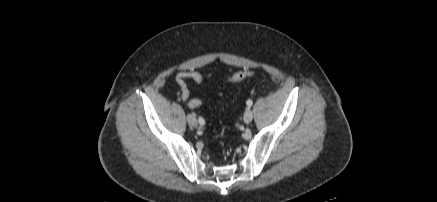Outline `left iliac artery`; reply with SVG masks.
Wrapping results in <instances>:
<instances>
[{
	"instance_id": "44dca946",
	"label": "left iliac artery",
	"mask_w": 437,
	"mask_h": 202,
	"mask_svg": "<svg viewBox=\"0 0 437 202\" xmlns=\"http://www.w3.org/2000/svg\"><path fill=\"white\" fill-rule=\"evenodd\" d=\"M246 104H247L248 107H251L252 104H253V102H252V100H248V101L246 102Z\"/></svg>"
}]
</instances>
